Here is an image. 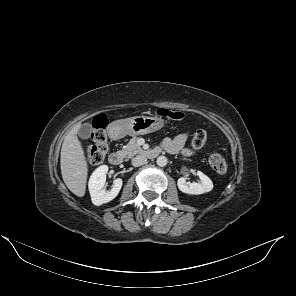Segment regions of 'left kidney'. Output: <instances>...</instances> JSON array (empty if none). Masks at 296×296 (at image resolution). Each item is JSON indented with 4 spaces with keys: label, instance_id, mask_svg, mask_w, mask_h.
Segmentation results:
<instances>
[{
    "label": "left kidney",
    "instance_id": "obj_1",
    "mask_svg": "<svg viewBox=\"0 0 296 296\" xmlns=\"http://www.w3.org/2000/svg\"><path fill=\"white\" fill-rule=\"evenodd\" d=\"M197 175L200 178V182H187L186 178L181 177L177 181V185L180 191L186 194H191V195H200L203 193L210 192L213 189V183L211 179L202 173L201 171L197 172Z\"/></svg>",
    "mask_w": 296,
    "mask_h": 296
}]
</instances>
